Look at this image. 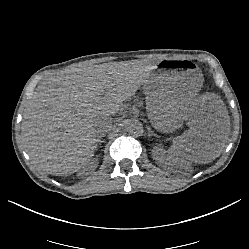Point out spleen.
I'll list each match as a JSON object with an SVG mask.
<instances>
[{
    "mask_svg": "<svg viewBox=\"0 0 249 249\" xmlns=\"http://www.w3.org/2000/svg\"><path fill=\"white\" fill-rule=\"evenodd\" d=\"M169 153H173V150L171 149V150H169ZM169 157L171 158V159H175L174 157H172L171 155H169Z\"/></svg>",
    "mask_w": 249,
    "mask_h": 249,
    "instance_id": "obj_1",
    "label": "spleen"
}]
</instances>
